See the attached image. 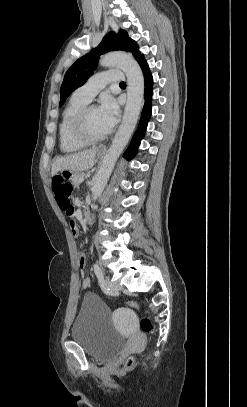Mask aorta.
Segmentation results:
<instances>
[{"label": "aorta", "instance_id": "762f6f07", "mask_svg": "<svg viewBox=\"0 0 247 407\" xmlns=\"http://www.w3.org/2000/svg\"><path fill=\"white\" fill-rule=\"evenodd\" d=\"M100 64L104 67L120 68L127 76L128 87L127 103L122 123L94 178L92 187L93 201H96L103 192L119 155L134 131L144 97L143 74L138 63L131 55L123 52L108 53L101 58Z\"/></svg>", "mask_w": 247, "mask_h": 407}]
</instances>
